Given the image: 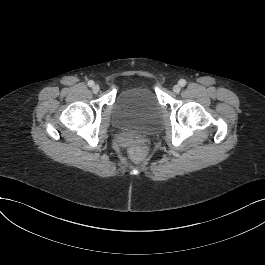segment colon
I'll return each mask as SVG.
<instances>
[{
  "mask_svg": "<svg viewBox=\"0 0 265 265\" xmlns=\"http://www.w3.org/2000/svg\"><path fill=\"white\" fill-rule=\"evenodd\" d=\"M123 140L131 144V154L136 159H141L145 157L149 148L146 145L139 144V136L136 134H126L123 136Z\"/></svg>",
  "mask_w": 265,
  "mask_h": 265,
  "instance_id": "colon-1",
  "label": "colon"
}]
</instances>
